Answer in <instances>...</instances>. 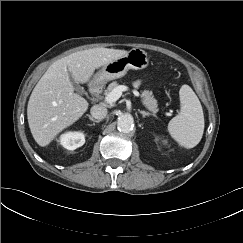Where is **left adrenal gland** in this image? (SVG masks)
<instances>
[{
	"instance_id": "obj_1",
	"label": "left adrenal gland",
	"mask_w": 243,
	"mask_h": 243,
	"mask_svg": "<svg viewBox=\"0 0 243 243\" xmlns=\"http://www.w3.org/2000/svg\"><path fill=\"white\" fill-rule=\"evenodd\" d=\"M140 114H142V116L145 118L146 116H155V114H152V113H149V112H146V111H143V110H138Z\"/></svg>"
}]
</instances>
